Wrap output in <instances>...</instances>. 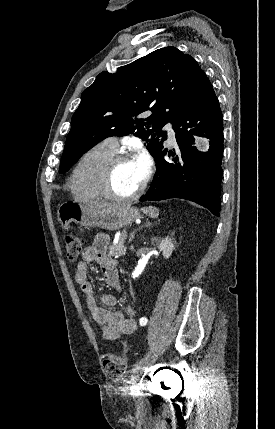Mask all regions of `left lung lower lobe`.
Here are the masks:
<instances>
[{
    "instance_id": "1",
    "label": "left lung lower lobe",
    "mask_w": 275,
    "mask_h": 429,
    "mask_svg": "<svg viewBox=\"0 0 275 429\" xmlns=\"http://www.w3.org/2000/svg\"><path fill=\"white\" fill-rule=\"evenodd\" d=\"M179 153L162 149L155 157L157 171L140 201L183 198L219 216L223 156V115L212 84L202 71L193 95L173 123ZM194 136L210 139L207 152L192 146Z\"/></svg>"
}]
</instances>
